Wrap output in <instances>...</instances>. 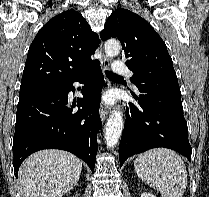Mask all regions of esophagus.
Masks as SVG:
<instances>
[{"label": "esophagus", "instance_id": "1", "mask_svg": "<svg viewBox=\"0 0 209 197\" xmlns=\"http://www.w3.org/2000/svg\"><path fill=\"white\" fill-rule=\"evenodd\" d=\"M101 65L103 67V69L108 70L110 68V60L108 57H106L105 55H103L102 59H101ZM105 86L109 87L110 86V82L108 80H105ZM110 110L108 107H106L103 103L101 104L100 107V118L101 121L104 122L109 114Z\"/></svg>", "mask_w": 209, "mask_h": 197}]
</instances>
